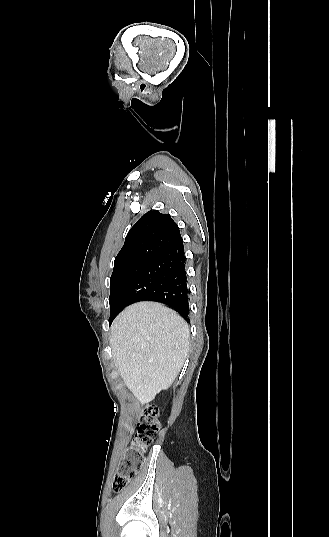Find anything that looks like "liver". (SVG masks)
I'll list each match as a JSON object with an SVG mask.
<instances>
[{"label": "liver", "instance_id": "liver-1", "mask_svg": "<svg viewBox=\"0 0 329 537\" xmlns=\"http://www.w3.org/2000/svg\"><path fill=\"white\" fill-rule=\"evenodd\" d=\"M190 331L174 310L154 302L126 307L113 321L110 345L121 378L138 401L155 399L179 374Z\"/></svg>", "mask_w": 329, "mask_h": 537}]
</instances>
